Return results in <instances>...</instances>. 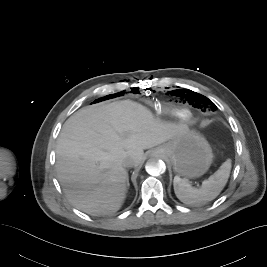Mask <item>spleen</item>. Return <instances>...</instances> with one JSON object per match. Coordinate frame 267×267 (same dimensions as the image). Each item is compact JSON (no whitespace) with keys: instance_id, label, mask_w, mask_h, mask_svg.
I'll return each instance as SVG.
<instances>
[{"instance_id":"spleen-1","label":"spleen","mask_w":267,"mask_h":267,"mask_svg":"<svg viewBox=\"0 0 267 267\" xmlns=\"http://www.w3.org/2000/svg\"><path fill=\"white\" fill-rule=\"evenodd\" d=\"M231 170V160H226L220 168L207 180L202 182L198 188L192 187L188 180L179 176L174 177V192L177 198L185 203L192 205H202L215 199L225 187Z\"/></svg>"}]
</instances>
